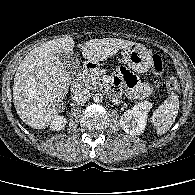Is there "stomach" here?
<instances>
[{"instance_id":"obj_1","label":"stomach","mask_w":195,"mask_h":195,"mask_svg":"<svg viewBox=\"0 0 195 195\" xmlns=\"http://www.w3.org/2000/svg\"><path fill=\"white\" fill-rule=\"evenodd\" d=\"M122 55L127 66L138 73L148 71L152 64V55L142 44L133 43L123 50Z\"/></svg>"}]
</instances>
